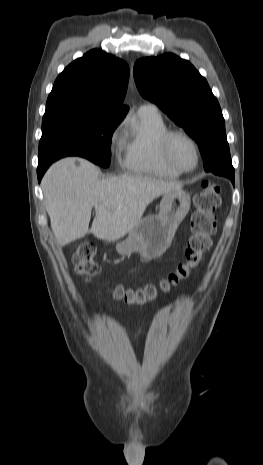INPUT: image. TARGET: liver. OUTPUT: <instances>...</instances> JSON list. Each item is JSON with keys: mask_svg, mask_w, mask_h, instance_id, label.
I'll list each match as a JSON object with an SVG mask.
<instances>
[{"mask_svg": "<svg viewBox=\"0 0 263 465\" xmlns=\"http://www.w3.org/2000/svg\"><path fill=\"white\" fill-rule=\"evenodd\" d=\"M182 186L142 175L100 180L96 165L75 157L54 163L42 180L51 228L61 245L88 233L102 240H118L141 220L155 198ZM93 207L96 215L89 229Z\"/></svg>", "mask_w": 263, "mask_h": 465, "instance_id": "obj_1", "label": "liver"}]
</instances>
